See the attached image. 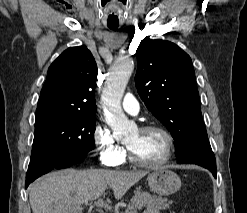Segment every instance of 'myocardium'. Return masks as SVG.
<instances>
[{
  "label": "myocardium",
  "instance_id": "1",
  "mask_svg": "<svg viewBox=\"0 0 247 213\" xmlns=\"http://www.w3.org/2000/svg\"><path fill=\"white\" fill-rule=\"evenodd\" d=\"M140 132H150V131H157L162 134V136L165 139L166 143V151L163 156V158L157 162L154 163H149V162H144L137 158L131 148L126 145V150H127V155L128 159L131 163H133L136 166L143 167V168H148V169H157L160 168L164 165H166L170 159L172 158L173 152H174V139L170 132L165 129L164 127L156 124H148V125H143L138 129Z\"/></svg>",
  "mask_w": 247,
  "mask_h": 213
}]
</instances>
